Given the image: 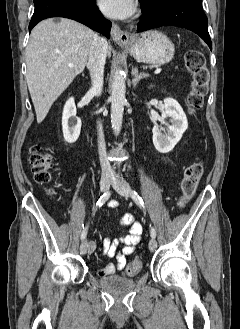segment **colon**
<instances>
[{
	"label": "colon",
	"mask_w": 240,
	"mask_h": 329,
	"mask_svg": "<svg viewBox=\"0 0 240 329\" xmlns=\"http://www.w3.org/2000/svg\"><path fill=\"white\" fill-rule=\"evenodd\" d=\"M185 67L192 76L190 91L187 95L188 106L192 111L198 110L203 105V100L208 91L209 72L206 67L203 53L198 49H189L185 54ZM29 165L38 184H48L52 179L54 166L52 154L39 144H34L30 149ZM204 172L201 161H194L185 170L180 183L181 196L179 205L185 206L194 196L199 180ZM141 263L134 260L126 267V274L134 275L139 272Z\"/></svg>",
	"instance_id": "5ec220e1"
}]
</instances>
